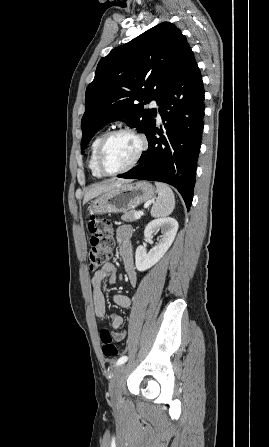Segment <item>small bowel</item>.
I'll list each match as a JSON object with an SVG mask.
<instances>
[{
	"mask_svg": "<svg viewBox=\"0 0 269 447\" xmlns=\"http://www.w3.org/2000/svg\"><path fill=\"white\" fill-rule=\"evenodd\" d=\"M132 230L127 225H122L117 229V240L119 242V255L123 260L124 268L128 279L132 286H137L138 278L134 267L132 247L130 244V237ZM113 285L117 282V267L113 263H107L101 268L97 269L91 278V286L93 290V305L94 311L98 318H105L106 316V298L104 292V283ZM114 303L120 307L128 308L131 305V300L124 294L115 293L112 295ZM110 322L114 329V340L121 342L125 339V332L120 330L123 324V317L118 314L110 316Z\"/></svg>",
	"mask_w": 269,
	"mask_h": 447,
	"instance_id": "small-bowel-1",
	"label": "small bowel"
}]
</instances>
